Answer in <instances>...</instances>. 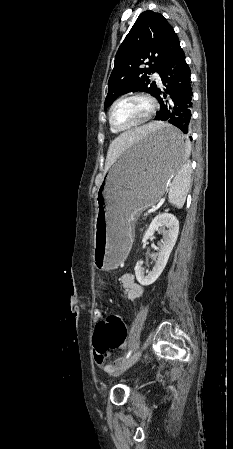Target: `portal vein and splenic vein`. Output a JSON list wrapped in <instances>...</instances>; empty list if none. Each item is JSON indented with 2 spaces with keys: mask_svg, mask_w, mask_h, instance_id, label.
Listing matches in <instances>:
<instances>
[{
  "mask_svg": "<svg viewBox=\"0 0 233 449\" xmlns=\"http://www.w3.org/2000/svg\"><path fill=\"white\" fill-rule=\"evenodd\" d=\"M155 209H156L155 207H152V208L148 209L147 213L150 214V213H152Z\"/></svg>",
  "mask_w": 233,
  "mask_h": 449,
  "instance_id": "18ae733b",
  "label": "portal vein and splenic vein"
}]
</instances>
